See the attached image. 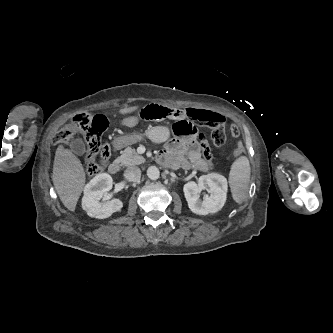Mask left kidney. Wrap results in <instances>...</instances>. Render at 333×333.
I'll return each mask as SVG.
<instances>
[{
	"label": "left kidney",
	"instance_id": "5707ae66",
	"mask_svg": "<svg viewBox=\"0 0 333 333\" xmlns=\"http://www.w3.org/2000/svg\"><path fill=\"white\" fill-rule=\"evenodd\" d=\"M203 190H206L208 194L201 199L200 193ZM227 190V179L218 173L202 175L197 183L190 181L183 188L190 210L198 215L219 211L225 204Z\"/></svg>",
	"mask_w": 333,
	"mask_h": 333
}]
</instances>
